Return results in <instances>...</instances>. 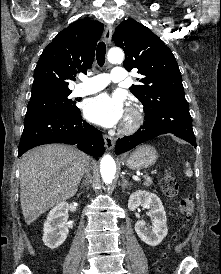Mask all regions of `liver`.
<instances>
[{"mask_svg": "<svg viewBox=\"0 0 221 274\" xmlns=\"http://www.w3.org/2000/svg\"><path fill=\"white\" fill-rule=\"evenodd\" d=\"M89 156L62 144L39 146L20 161V202L30 225L41 214L75 195Z\"/></svg>", "mask_w": 221, "mask_h": 274, "instance_id": "6515ba94", "label": "liver"}]
</instances>
